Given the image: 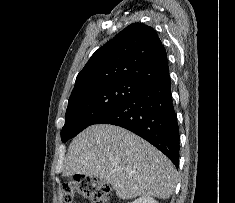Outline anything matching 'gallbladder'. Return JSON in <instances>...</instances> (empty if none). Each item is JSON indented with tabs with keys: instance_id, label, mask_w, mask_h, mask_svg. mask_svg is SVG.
<instances>
[{
	"instance_id": "1",
	"label": "gallbladder",
	"mask_w": 235,
	"mask_h": 203,
	"mask_svg": "<svg viewBox=\"0 0 235 203\" xmlns=\"http://www.w3.org/2000/svg\"><path fill=\"white\" fill-rule=\"evenodd\" d=\"M100 184H101V185H107V180H101V181H100Z\"/></svg>"
}]
</instances>
